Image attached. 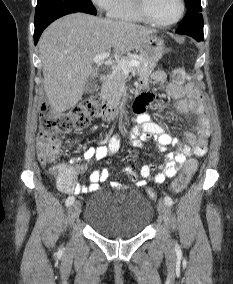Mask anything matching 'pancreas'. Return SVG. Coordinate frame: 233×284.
I'll return each instance as SVG.
<instances>
[{"label": "pancreas", "mask_w": 233, "mask_h": 284, "mask_svg": "<svg viewBox=\"0 0 233 284\" xmlns=\"http://www.w3.org/2000/svg\"><path fill=\"white\" fill-rule=\"evenodd\" d=\"M137 60L140 65L138 67H132L131 69L136 71L140 76L149 75L155 68V63L148 62L142 56L137 54H131L126 57H122L121 61ZM126 79V73L120 66V63L113 68L112 74L109 76L106 85L102 90V98L107 101L110 107H117L120 103V99L123 93V85Z\"/></svg>", "instance_id": "cf45deb5"}]
</instances>
